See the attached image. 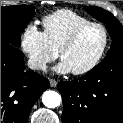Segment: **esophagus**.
I'll return each mask as SVG.
<instances>
[{
    "instance_id": "34e87169",
    "label": "esophagus",
    "mask_w": 123,
    "mask_h": 123,
    "mask_svg": "<svg viewBox=\"0 0 123 123\" xmlns=\"http://www.w3.org/2000/svg\"><path fill=\"white\" fill-rule=\"evenodd\" d=\"M49 83H50V87H56L57 86V81L54 79H50Z\"/></svg>"
}]
</instances>
